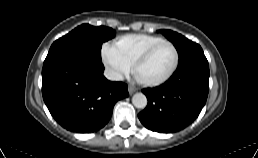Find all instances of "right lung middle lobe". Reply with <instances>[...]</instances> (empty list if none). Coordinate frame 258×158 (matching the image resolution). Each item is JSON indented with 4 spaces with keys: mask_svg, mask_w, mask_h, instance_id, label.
<instances>
[{
    "mask_svg": "<svg viewBox=\"0 0 258 158\" xmlns=\"http://www.w3.org/2000/svg\"><path fill=\"white\" fill-rule=\"evenodd\" d=\"M114 34L115 31L108 27H93L83 24L56 40L52 44L47 58L63 53H80L101 60L102 44L114 37Z\"/></svg>",
    "mask_w": 258,
    "mask_h": 158,
    "instance_id": "dd1d6c3e",
    "label": "right lung middle lobe"
}]
</instances>
